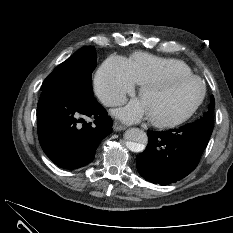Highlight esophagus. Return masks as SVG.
<instances>
[{
    "mask_svg": "<svg viewBox=\"0 0 233 233\" xmlns=\"http://www.w3.org/2000/svg\"><path fill=\"white\" fill-rule=\"evenodd\" d=\"M113 129H114L115 131H122V130L125 129V126L121 125V124L118 123V122H114V124H113Z\"/></svg>",
    "mask_w": 233,
    "mask_h": 233,
    "instance_id": "obj_1",
    "label": "esophagus"
}]
</instances>
